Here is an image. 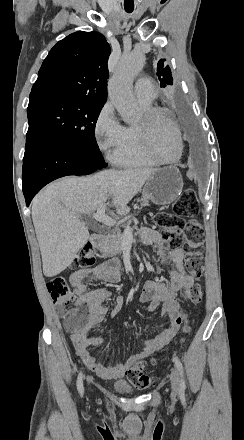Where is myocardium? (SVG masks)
I'll use <instances>...</instances> for the list:
<instances>
[{
  "label": "myocardium",
  "instance_id": "obj_1",
  "mask_svg": "<svg viewBox=\"0 0 244 440\" xmlns=\"http://www.w3.org/2000/svg\"><path fill=\"white\" fill-rule=\"evenodd\" d=\"M167 112L162 110L158 107H152L148 110L144 111V113L141 116V121L137 123V126L143 130L142 135V146L147 147L148 154H153V148L150 146V139L148 138L154 130L150 127L152 124H157L159 119H165L164 121L166 123H169V127H172V129L177 134V148H176V155L172 159H163L159 154H154L153 157L157 161V163L161 165H173L176 164L181 157L182 153V138L180 131L175 126L174 122H170L169 119L171 116L169 114H166Z\"/></svg>",
  "mask_w": 244,
  "mask_h": 440
}]
</instances>
